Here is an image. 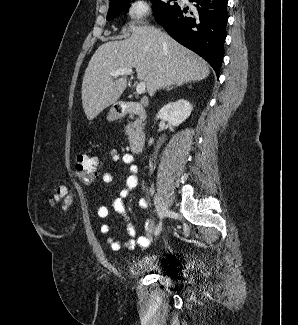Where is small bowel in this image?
Masks as SVG:
<instances>
[{
    "label": "small bowel",
    "instance_id": "small-bowel-1",
    "mask_svg": "<svg viewBox=\"0 0 298 325\" xmlns=\"http://www.w3.org/2000/svg\"><path fill=\"white\" fill-rule=\"evenodd\" d=\"M109 155L113 162H122L127 166L129 171V176L126 179V187L121 190L119 197L112 202V206L115 212L122 216L127 223L126 229L129 239L124 241L117 239L112 233V229L108 224H102L100 231L103 235H106V241L114 251H119L122 248L133 250L136 246L146 247L150 243V235L153 230L152 220L147 219L145 221L144 234L135 240L136 228L130 222L124 204V198L128 196L129 191L137 187L139 184L138 166L134 161L133 155L130 153H122L118 149H111L109 151ZM115 176L116 170L107 171L103 173L102 180L105 183H111L113 182ZM139 205L141 207H146L144 198L139 199ZM97 215L99 218L106 219L109 216V209L106 206H100L97 209Z\"/></svg>",
    "mask_w": 298,
    "mask_h": 325
}]
</instances>
